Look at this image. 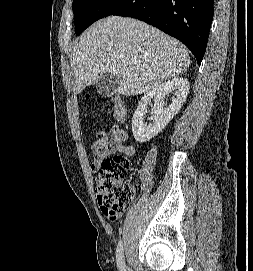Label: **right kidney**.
<instances>
[{
	"instance_id": "right-kidney-1",
	"label": "right kidney",
	"mask_w": 253,
	"mask_h": 271,
	"mask_svg": "<svg viewBox=\"0 0 253 271\" xmlns=\"http://www.w3.org/2000/svg\"><path fill=\"white\" fill-rule=\"evenodd\" d=\"M174 91L172 103L166 105L164 98ZM189 93V82L185 78H173L150 89L140 100L132 118V132L136 141L144 143L161 132L181 109ZM154 98L152 122L145 124L143 116L147 105ZM166 106V107H165Z\"/></svg>"
}]
</instances>
